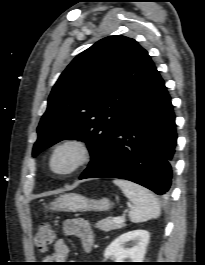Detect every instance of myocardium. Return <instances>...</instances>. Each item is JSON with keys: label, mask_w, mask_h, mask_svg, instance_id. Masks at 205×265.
I'll return each mask as SVG.
<instances>
[{"label": "myocardium", "mask_w": 205, "mask_h": 265, "mask_svg": "<svg viewBox=\"0 0 205 265\" xmlns=\"http://www.w3.org/2000/svg\"><path fill=\"white\" fill-rule=\"evenodd\" d=\"M67 147L73 148L76 151L77 158L68 169L62 171L56 170L53 166L54 157L61 149ZM92 155V148L88 142L78 137H70L59 141L50 149L46 164L51 174L58 177H68L85 167L92 159Z\"/></svg>", "instance_id": "f54148a6"}]
</instances>
